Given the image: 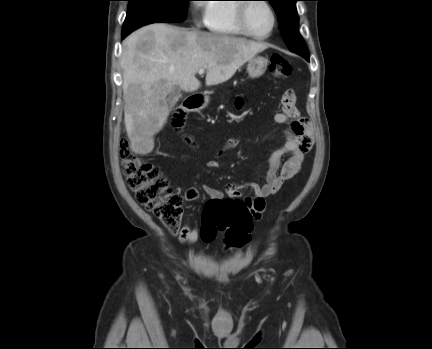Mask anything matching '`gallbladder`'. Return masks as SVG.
<instances>
[{
	"instance_id": "obj_1",
	"label": "gallbladder",
	"mask_w": 432,
	"mask_h": 349,
	"mask_svg": "<svg viewBox=\"0 0 432 349\" xmlns=\"http://www.w3.org/2000/svg\"><path fill=\"white\" fill-rule=\"evenodd\" d=\"M179 97H180V89L177 86H174L172 92L169 94L167 98L170 108H173L176 105Z\"/></svg>"
}]
</instances>
